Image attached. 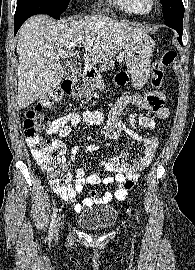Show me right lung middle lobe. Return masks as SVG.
<instances>
[{
  "mask_svg": "<svg viewBox=\"0 0 195 270\" xmlns=\"http://www.w3.org/2000/svg\"><path fill=\"white\" fill-rule=\"evenodd\" d=\"M70 0H17V8H31L59 19Z\"/></svg>",
  "mask_w": 195,
  "mask_h": 270,
  "instance_id": "dd1d6c3e",
  "label": "right lung middle lobe"
}]
</instances>
